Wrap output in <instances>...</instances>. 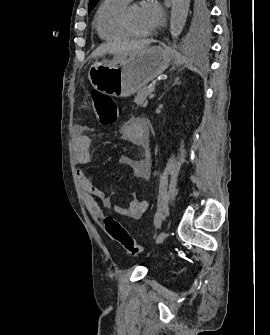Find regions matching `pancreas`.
Masks as SVG:
<instances>
[{
	"instance_id": "obj_1",
	"label": "pancreas",
	"mask_w": 270,
	"mask_h": 335,
	"mask_svg": "<svg viewBox=\"0 0 270 335\" xmlns=\"http://www.w3.org/2000/svg\"><path fill=\"white\" fill-rule=\"evenodd\" d=\"M151 90L153 92L154 88H150V90H148V88H141V90H139L135 96V104L140 106V108H146L148 104L147 96H149Z\"/></svg>"
}]
</instances>
